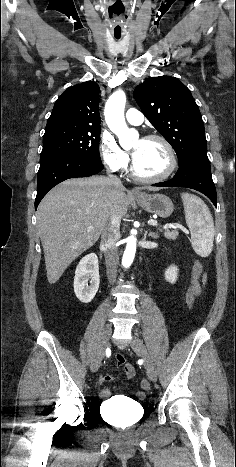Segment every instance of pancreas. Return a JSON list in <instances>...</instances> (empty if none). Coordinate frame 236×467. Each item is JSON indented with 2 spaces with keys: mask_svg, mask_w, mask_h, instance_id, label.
<instances>
[{
  "mask_svg": "<svg viewBox=\"0 0 236 467\" xmlns=\"http://www.w3.org/2000/svg\"><path fill=\"white\" fill-rule=\"evenodd\" d=\"M162 232V230H160ZM164 236L166 239L168 240H176L177 237H178V232L177 231H169V230H165L164 232Z\"/></svg>",
  "mask_w": 236,
  "mask_h": 467,
  "instance_id": "pancreas-1",
  "label": "pancreas"
}]
</instances>
